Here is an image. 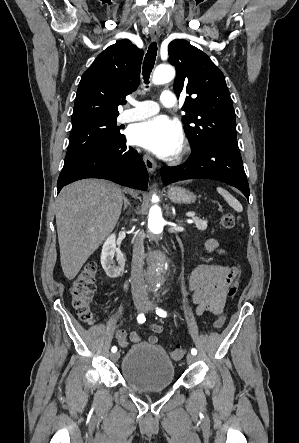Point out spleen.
<instances>
[{
    "label": "spleen",
    "mask_w": 299,
    "mask_h": 443,
    "mask_svg": "<svg viewBox=\"0 0 299 443\" xmlns=\"http://www.w3.org/2000/svg\"><path fill=\"white\" fill-rule=\"evenodd\" d=\"M217 192L223 196V198L226 200V202L237 212H242L243 211V207L241 205V203L235 198L233 197L227 190L218 187L217 188Z\"/></svg>",
    "instance_id": "1"
}]
</instances>
